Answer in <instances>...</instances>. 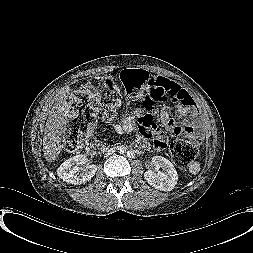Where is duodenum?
<instances>
[{"mask_svg":"<svg viewBox=\"0 0 253 253\" xmlns=\"http://www.w3.org/2000/svg\"><path fill=\"white\" fill-rule=\"evenodd\" d=\"M102 150H103V146L98 143H91L87 147V153L90 156H97L98 154L102 152Z\"/></svg>","mask_w":253,"mask_h":253,"instance_id":"obj_1","label":"duodenum"}]
</instances>
